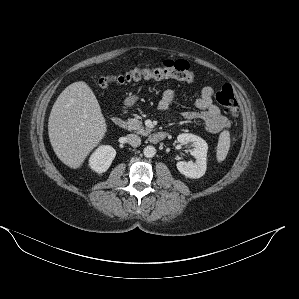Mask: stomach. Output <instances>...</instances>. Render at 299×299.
<instances>
[{
	"label": "stomach",
	"instance_id": "0dacf381",
	"mask_svg": "<svg viewBox=\"0 0 299 299\" xmlns=\"http://www.w3.org/2000/svg\"><path fill=\"white\" fill-rule=\"evenodd\" d=\"M133 102V100H130L129 103L131 104Z\"/></svg>",
	"mask_w": 299,
	"mask_h": 299
}]
</instances>
